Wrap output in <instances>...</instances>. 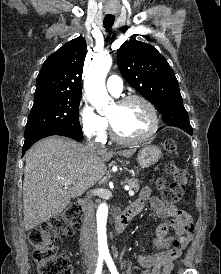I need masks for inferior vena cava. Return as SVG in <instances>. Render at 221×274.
Returning a JSON list of instances; mask_svg holds the SVG:
<instances>
[{
  "label": "inferior vena cava",
  "mask_w": 221,
  "mask_h": 274,
  "mask_svg": "<svg viewBox=\"0 0 221 274\" xmlns=\"http://www.w3.org/2000/svg\"><path fill=\"white\" fill-rule=\"evenodd\" d=\"M91 146L98 148V146H95L93 144H91ZM100 147L103 148V146ZM82 232L84 238L85 256L88 259L96 260L98 256V246L94 216V204L92 200H89L87 205V209L84 215Z\"/></svg>",
  "instance_id": "602c4592"
}]
</instances>
